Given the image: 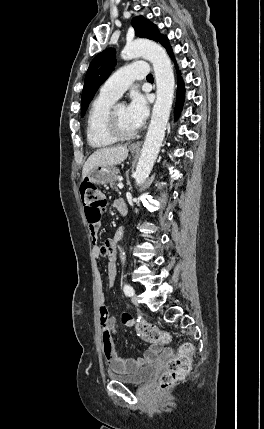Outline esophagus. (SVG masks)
Masks as SVG:
<instances>
[{"label":"esophagus","instance_id":"34e87169","mask_svg":"<svg viewBox=\"0 0 264 429\" xmlns=\"http://www.w3.org/2000/svg\"><path fill=\"white\" fill-rule=\"evenodd\" d=\"M141 144H142V141H138V142H136V143L132 144V145H131V148H132V149H140Z\"/></svg>","mask_w":264,"mask_h":429}]
</instances>
